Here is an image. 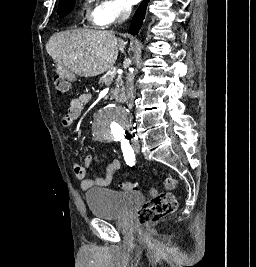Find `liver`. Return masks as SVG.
Wrapping results in <instances>:
<instances>
[{
	"instance_id": "liver-1",
	"label": "liver",
	"mask_w": 256,
	"mask_h": 267,
	"mask_svg": "<svg viewBox=\"0 0 256 267\" xmlns=\"http://www.w3.org/2000/svg\"><path fill=\"white\" fill-rule=\"evenodd\" d=\"M126 42L114 32L101 30H66L55 32L46 44V50L62 68H69L77 76L91 78L113 68L118 50L124 54Z\"/></svg>"
}]
</instances>
